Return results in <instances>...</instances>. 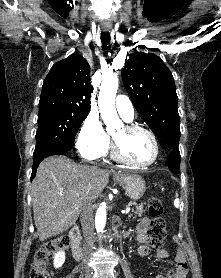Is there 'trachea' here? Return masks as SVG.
<instances>
[{
    "instance_id": "obj_1",
    "label": "trachea",
    "mask_w": 221,
    "mask_h": 278,
    "mask_svg": "<svg viewBox=\"0 0 221 278\" xmlns=\"http://www.w3.org/2000/svg\"><path fill=\"white\" fill-rule=\"evenodd\" d=\"M101 42L104 46H107L110 43V34L109 32L101 33Z\"/></svg>"
}]
</instances>
